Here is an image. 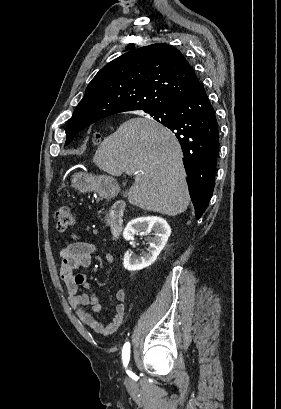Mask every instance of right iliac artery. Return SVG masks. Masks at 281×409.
Here are the masks:
<instances>
[{
  "instance_id": "obj_1",
  "label": "right iliac artery",
  "mask_w": 281,
  "mask_h": 409,
  "mask_svg": "<svg viewBox=\"0 0 281 409\" xmlns=\"http://www.w3.org/2000/svg\"><path fill=\"white\" fill-rule=\"evenodd\" d=\"M122 358H123L124 366L127 367L128 362H129V358H130V345H129V343H126L124 345V347H123Z\"/></svg>"
}]
</instances>
